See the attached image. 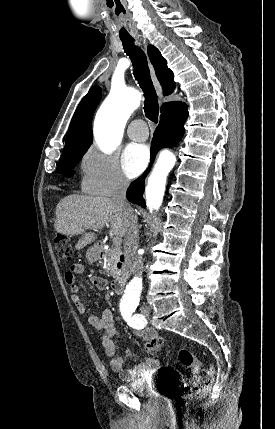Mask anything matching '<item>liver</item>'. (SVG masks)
I'll return each instance as SVG.
<instances>
[{"label": "liver", "instance_id": "6515ba94", "mask_svg": "<svg viewBox=\"0 0 275 429\" xmlns=\"http://www.w3.org/2000/svg\"><path fill=\"white\" fill-rule=\"evenodd\" d=\"M105 225H110L116 236H125L126 217L111 198L69 195L56 206V232L70 236L84 233L75 245L78 250L94 242L96 232ZM89 229L93 232H85Z\"/></svg>", "mask_w": 275, "mask_h": 429}]
</instances>
